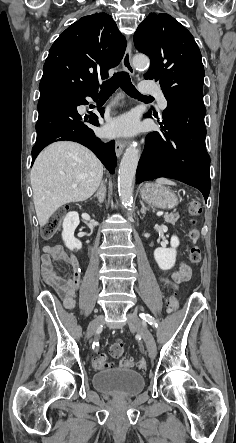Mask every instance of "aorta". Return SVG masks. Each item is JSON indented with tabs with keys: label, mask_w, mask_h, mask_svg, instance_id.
<instances>
[{
	"label": "aorta",
	"mask_w": 236,
	"mask_h": 443,
	"mask_svg": "<svg viewBox=\"0 0 236 443\" xmlns=\"http://www.w3.org/2000/svg\"><path fill=\"white\" fill-rule=\"evenodd\" d=\"M135 68H148L149 59L145 55H136L133 58ZM140 158V152L137 143H132L123 154L118 172V191L125 208L131 207L133 203V183L135 180L136 169Z\"/></svg>",
	"instance_id": "aorta-1"
}]
</instances>
